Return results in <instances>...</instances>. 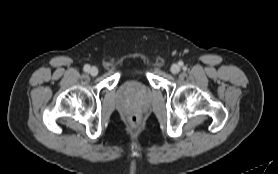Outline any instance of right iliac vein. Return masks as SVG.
Instances as JSON below:
<instances>
[{
  "label": "right iliac vein",
  "instance_id": "63e3f726",
  "mask_svg": "<svg viewBox=\"0 0 278 174\" xmlns=\"http://www.w3.org/2000/svg\"><path fill=\"white\" fill-rule=\"evenodd\" d=\"M89 73L91 76H96L98 74V68L95 66L91 67V69L89 70Z\"/></svg>",
  "mask_w": 278,
  "mask_h": 174
}]
</instances>
